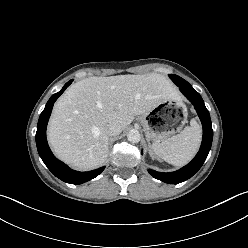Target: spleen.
<instances>
[{
	"mask_svg": "<svg viewBox=\"0 0 248 248\" xmlns=\"http://www.w3.org/2000/svg\"><path fill=\"white\" fill-rule=\"evenodd\" d=\"M201 127L196 120H191L179 134L162 142L153 144L154 152L174 166L188 163L196 154L201 142Z\"/></svg>",
	"mask_w": 248,
	"mask_h": 248,
	"instance_id": "1",
	"label": "spleen"
}]
</instances>
